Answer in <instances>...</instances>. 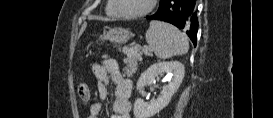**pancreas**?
<instances>
[{
    "label": "pancreas",
    "instance_id": "1",
    "mask_svg": "<svg viewBox=\"0 0 273 118\" xmlns=\"http://www.w3.org/2000/svg\"><path fill=\"white\" fill-rule=\"evenodd\" d=\"M130 49H133L132 51ZM125 51L127 58L124 59V62L127 64L124 67V72L128 77L133 76L137 70V61L141 58L142 52L140 51L139 46H135Z\"/></svg>",
    "mask_w": 273,
    "mask_h": 118
}]
</instances>
